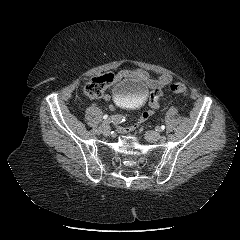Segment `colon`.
I'll use <instances>...</instances> for the list:
<instances>
[{
  "mask_svg": "<svg viewBox=\"0 0 240 240\" xmlns=\"http://www.w3.org/2000/svg\"><path fill=\"white\" fill-rule=\"evenodd\" d=\"M110 81L111 76L109 74L94 77L86 83L84 91L86 95L91 98H100L104 95V90ZM170 90L176 94H182L184 96L188 95L186 85L180 82L173 83L170 86Z\"/></svg>",
  "mask_w": 240,
  "mask_h": 240,
  "instance_id": "colon-1",
  "label": "colon"
}]
</instances>
